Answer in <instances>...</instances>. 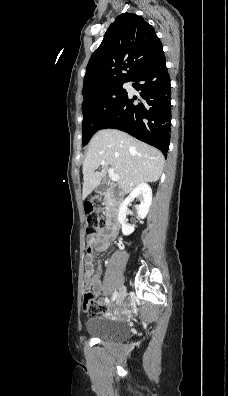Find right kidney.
Returning a JSON list of instances; mask_svg holds the SVG:
<instances>
[{
	"label": "right kidney",
	"instance_id": "right-kidney-1",
	"mask_svg": "<svg viewBox=\"0 0 228 396\" xmlns=\"http://www.w3.org/2000/svg\"><path fill=\"white\" fill-rule=\"evenodd\" d=\"M134 198H139L141 201L140 205L136 206V209L140 218L144 219L152 204V190L150 186L146 183L137 185L119 208L118 220L122 225V233L126 236L130 235L134 231V227L128 226L125 222L127 206L134 200Z\"/></svg>",
	"mask_w": 228,
	"mask_h": 396
}]
</instances>
